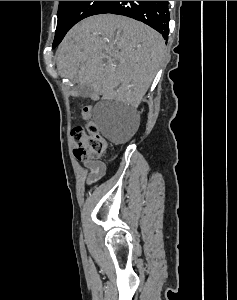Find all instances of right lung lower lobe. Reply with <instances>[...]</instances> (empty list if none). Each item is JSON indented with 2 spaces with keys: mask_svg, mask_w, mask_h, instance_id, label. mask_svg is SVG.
Returning <instances> with one entry per match:
<instances>
[{
  "mask_svg": "<svg viewBox=\"0 0 237 300\" xmlns=\"http://www.w3.org/2000/svg\"><path fill=\"white\" fill-rule=\"evenodd\" d=\"M105 13L142 21L167 39L170 20L168 1H108L96 14Z\"/></svg>",
  "mask_w": 237,
  "mask_h": 300,
  "instance_id": "right-lung-lower-lobe-1",
  "label": "right lung lower lobe"
}]
</instances>
